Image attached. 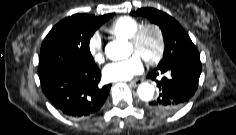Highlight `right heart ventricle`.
Here are the masks:
<instances>
[{"instance_id":"e07e8e85","label":"right heart ventricle","mask_w":236,"mask_h":135,"mask_svg":"<svg viewBox=\"0 0 236 135\" xmlns=\"http://www.w3.org/2000/svg\"><path fill=\"white\" fill-rule=\"evenodd\" d=\"M142 24V21L134 17L121 16L111 22L106 27V31L113 36L130 40Z\"/></svg>"}]
</instances>
